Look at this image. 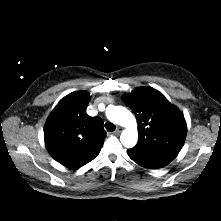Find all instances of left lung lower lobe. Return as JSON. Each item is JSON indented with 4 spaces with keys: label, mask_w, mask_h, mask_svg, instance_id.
Segmentation results:
<instances>
[{
    "label": "left lung lower lobe",
    "mask_w": 221,
    "mask_h": 221,
    "mask_svg": "<svg viewBox=\"0 0 221 221\" xmlns=\"http://www.w3.org/2000/svg\"><path fill=\"white\" fill-rule=\"evenodd\" d=\"M129 157L140 166L149 169L162 168L172 161L171 159H166L161 157H141V156H131V155H129Z\"/></svg>",
    "instance_id": "1"
}]
</instances>
